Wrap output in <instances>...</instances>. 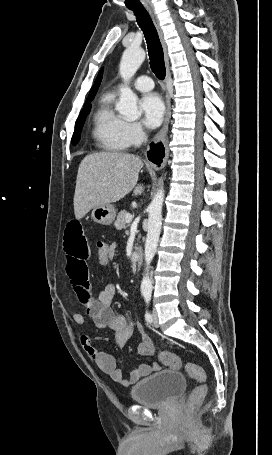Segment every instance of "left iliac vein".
I'll return each mask as SVG.
<instances>
[{"label":"left iliac vein","mask_w":272,"mask_h":455,"mask_svg":"<svg viewBox=\"0 0 272 455\" xmlns=\"http://www.w3.org/2000/svg\"><path fill=\"white\" fill-rule=\"evenodd\" d=\"M152 324L154 327H158L159 326V323H158V314H157V311L156 310H153L152 311Z\"/></svg>","instance_id":"4c4485c4"}]
</instances>
